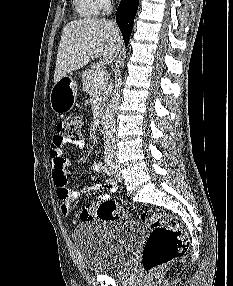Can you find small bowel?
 I'll return each mask as SVG.
<instances>
[{"instance_id":"c3829d8e","label":"small bowel","mask_w":233,"mask_h":286,"mask_svg":"<svg viewBox=\"0 0 233 286\" xmlns=\"http://www.w3.org/2000/svg\"><path fill=\"white\" fill-rule=\"evenodd\" d=\"M69 143H73L78 148H83L86 144L84 139H80L76 142H68L60 140L57 136H54L49 150L50 171L56 186L57 195L61 200V213L64 216H70L73 214L74 209L72 207V204L83 194L90 191H96L100 188H104L107 191L111 192L117 189V184L110 179H106L102 184L94 183L91 186L81 190L71 189L67 183V178L65 174V167L68 165V161L63 157V146ZM97 170L101 172H106L105 166L103 164L97 166ZM109 198V194L105 193L100 197V202L109 200ZM95 205L96 204L94 203H90L86 204L82 208L79 215L82 221H87L94 218Z\"/></svg>"}]
</instances>
